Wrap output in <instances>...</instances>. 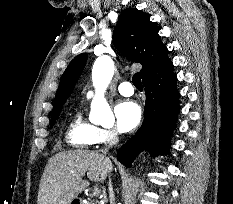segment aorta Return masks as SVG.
<instances>
[{
    "mask_svg": "<svg viewBox=\"0 0 233 204\" xmlns=\"http://www.w3.org/2000/svg\"><path fill=\"white\" fill-rule=\"evenodd\" d=\"M114 74V62L109 56L99 57L92 69V81L96 94L91 102L89 120L102 126L112 125L114 115L104 96Z\"/></svg>",
    "mask_w": 233,
    "mask_h": 204,
    "instance_id": "obj_1",
    "label": "aorta"
}]
</instances>
